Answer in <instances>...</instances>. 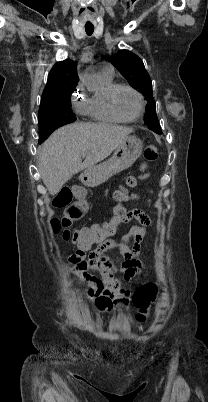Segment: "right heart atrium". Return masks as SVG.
Wrapping results in <instances>:
<instances>
[{
    "instance_id": "right-heart-atrium-1",
    "label": "right heart atrium",
    "mask_w": 208,
    "mask_h": 402,
    "mask_svg": "<svg viewBox=\"0 0 208 402\" xmlns=\"http://www.w3.org/2000/svg\"><path fill=\"white\" fill-rule=\"evenodd\" d=\"M79 97H82V99L79 100ZM71 104L78 113H86L88 111L89 100L83 93V85L81 83L76 86L71 95Z\"/></svg>"
}]
</instances>
